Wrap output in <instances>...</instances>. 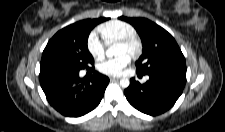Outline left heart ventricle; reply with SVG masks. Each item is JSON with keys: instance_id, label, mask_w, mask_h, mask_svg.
<instances>
[{"instance_id": "1", "label": "left heart ventricle", "mask_w": 225, "mask_h": 132, "mask_svg": "<svg viewBox=\"0 0 225 132\" xmlns=\"http://www.w3.org/2000/svg\"><path fill=\"white\" fill-rule=\"evenodd\" d=\"M116 54H117V55H121V54H130V50H129L127 47L118 44V45L116 46Z\"/></svg>"}]
</instances>
